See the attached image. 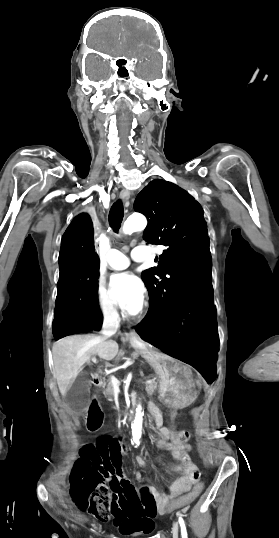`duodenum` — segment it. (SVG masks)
<instances>
[{"instance_id":"410a0bca","label":"duodenum","mask_w":279,"mask_h":538,"mask_svg":"<svg viewBox=\"0 0 279 538\" xmlns=\"http://www.w3.org/2000/svg\"><path fill=\"white\" fill-rule=\"evenodd\" d=\"M89 376L90 381L95 388H98L100 385H103L105 381L103 372L99 366H92L90 368ZM135 405H138V402L130 400L128 402V405H124V408H129V406L134 407ZM149 405H151V409H148V414L159 415L161 413V410L159 409V406L157 404L152 405V402H149ZM126 413L127 410H121L120 418L128 417V414ZM128 413H131V410H128ZM115 417H118V414H115ZM125 422H128V419H125Z\"/></svg>"}]
</instances>
